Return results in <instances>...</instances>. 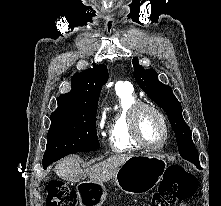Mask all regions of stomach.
I'll list each match as a JSON object with an SVG mask.
<instances>
[{"label": "stomach", "instance_id": "stomach-1", "mask_svg": "<svg viewBox=\"0 0 221 206\" xmlns=\"http://www.w3.org/2000/svg\"><path fill=\"white\" fill-rule=\"evenodd\" d=\"M167 168L165 160L155 155H135L128 158L117 170L114 182L128 194H144L162 179ZM80 206H101L106 199V188L102 183L83 181L77 185Z\"/></svg>", "mask_w": 221, "mask_h": 206}]
</instances>
